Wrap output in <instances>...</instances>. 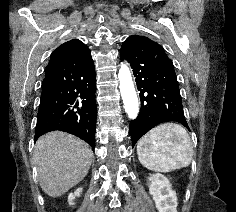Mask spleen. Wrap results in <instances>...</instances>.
<instances>
[{
    "mask_svg": "<svg viewBox=\"0 0 236 212\" xmlns=\"http://www.w3.org/2000/svg\"><path fill=\"white\" fill-rule=\"evenodd\" d=\"M137 154L145 168L166 173L188 166L193 146L185 128L177 123H164L138 141Z\"/></svg>",
    "mask_w": 236,
    "mask_h": 212,
    "instance_id": "obj_1",
    "label": "spleen"
}]
</instances>
